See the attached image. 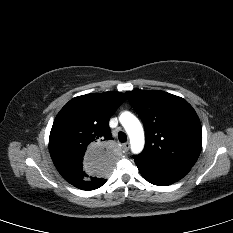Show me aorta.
Segmentation results:
<instances>
[{
  "mask_svg": "<svg viewBox=\"0 0 233 233\" xmlns=\"http://www.w3.org/2000/svg\"><path fill=\"white\" fill-rule=\"evenodd\" d=\"M119 120L129 136L131 151L139 154L145 144L144 131L140 121L130 112H123Z\"/></svg>",
  "mask_w": 233,
  "mask_h": 233,
  "instance_id": "1",
  "label": "aorta"
}]
</instances>
